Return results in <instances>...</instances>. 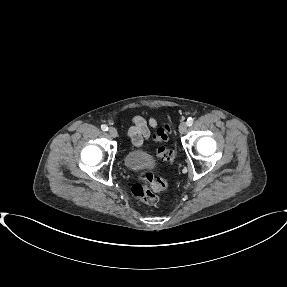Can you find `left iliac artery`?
<instances>
[{
    "label": "left iliac artery",
    "mask_w": 287,
    "mask_h": 287,
    "mask_svg": "<svg viewBox=\"0 0 287 287\" xmlns=\"http://www.w3.org/2000/svg\"><path fill=\"white\" fill-rule=\"evenodd\" d=\"M187 126H191L192 124H193V118L192 117H189L188 119H187Z\"/></svg>",
    "instance_id": "44dca946"
}]
</instances>
